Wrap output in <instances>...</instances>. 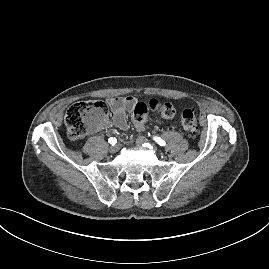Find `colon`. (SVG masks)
Wrapping results in <instances>:
<instances>
[{"instance_id":"1","label":"colon","mask_w":269,"mask_h":269,"mask_svg":"<svg viewBox=\"0 0 269 269\" xmlns=\"http://www.w3.org/2000/svg\"><path fill=\"white\" fill-rule=\"evenodd\" d=\"M150 111L158 112L165 118L175 116V108L171 103L158 99H151L148 103L138 102L134 107L133 119L139 129H142ZM106 114L107 108L102 101L89 100L75 103L68 109L65 117L69 137L73 140H79L88 133L99 129L105 121ZM181 123L190 137H197L199 128L195 114L191 109H185L182 112Z\"/></svg>"}]
</instances>
